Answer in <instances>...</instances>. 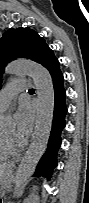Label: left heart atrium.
I'll list each match as a JSON object with an SVG mask.
<instances>
[{"label": "left heart atrium", "mask_w": 89, "mask_h": 203, "mask_svg": "<svg viewBox=\"0 0 89 203\" xmlns=\"http://www.w3.org/2000/svg\"><path fill=\"white\" fill-rule=\"evenodd\" d=\"M16 137L22 143L31 134L34 126V116L26 104H21L15 113Z\"/></svg>", "instance_id": "1"}]
</instances>
